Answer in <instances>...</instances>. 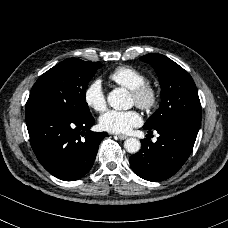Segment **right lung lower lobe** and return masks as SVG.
I'll list each match as a JSON object with an SVG mask.
<instances>
[{"label": "right lung lower lobe", "instance_id": "98d812e1", "mask_svg": "<svg viewBox=\"0 0 228 228\" xmlns=\"http://www.w3.org/2000/svg\"><path fill=\"white\" fill-rule=\"evenodd\" d=\"M32 149L41 165L64 181L83 177L92 167L106 132L89 130L92 116L75 117L56 110L25 114Z\"/></svg>", "mask_w": 228, "mask_h": 228}]
</instances>
